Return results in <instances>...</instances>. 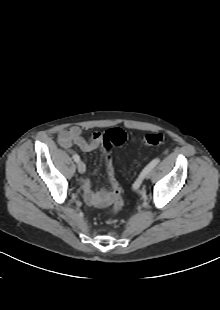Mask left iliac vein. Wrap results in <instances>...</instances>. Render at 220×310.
<instances>
[{
    "instance_id": "1",
    "label": "left iliac vein",
    "mask_w": 220,
    "mask_h": 310,
    "mask_svg": "<svg viewBox=\"0 0 220 310\" xmlns=\"http://www.w3.org/2000/svg\"><path fill=\"white\" fill-rule=\"evenodd\" d=\"M150 177H151V170L145 174L144 178L149 179Z\"/></svg>"
}]
</instances>
